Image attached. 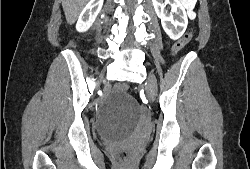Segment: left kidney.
I'll use <instances>...</instances> for the list:
<instances>
[{
	"instance_id": "obj_1",
	"label": "left kidney",
	"mask_w": 250,
	"mask_h": 169,
	"mask_svg": "<svg viewBox=\"0 0 250 169\" xmlns=\"http://www.w3.org/2000/svg\"><path fill=\"white\" fill-rule=\"evenodd\" d=\"M152 2L166 34L173 40L180 38L188 24L186 10L180 0H152ZM166 4H170L171 12H167Z\"/></svg>"
}]
</instances>
